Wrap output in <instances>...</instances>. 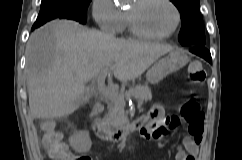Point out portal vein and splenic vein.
Listing matches in <instances>:
<instances>
[{
  "instance_id": "1",
  "label": "portal vein and splenic vein",
  "mask_w": 242,
  "mask_h": 160,
  "mask_svg": "<svg viewBox=\"0 0 242 160\" xmlns=\"http://www.w3.org/2000/svg\"><path fill=\"white\" fill-rule=\"evenodd\" d=\"M110 68L112 70L114 69V67H110ZM108 70L109 68L107 67L101 71L97 80V89L101 94H104L110 97L111 99H118L119 94L116 92V90L105 85V78L108 74Z\"/></svg>"
}]
</instances>
